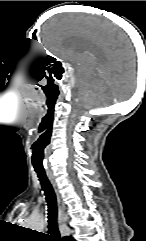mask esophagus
Returning a JSON list of instances; mask_svg holds the SVG:
<instances>
[{
    "label": "esophagus",
    "mask_w": 146,
    "mask_h": 241,
    "mask_svg": "<svg viewBox=\"0 0 146 241\" xmlns=\"http://www.w3.org/2000/svg\"><path fill=\"white\" fill-rule=\"evenodd\" d=\"M47 177L52 184V187L55 191L56 197H57V202H58V211H59V222L62 223L64 220V203L62 201V197L59 192L58 185L56 183L55 177L52 174V172H47Z\"/></svg>",
    "instance_id": "obj_1"
}]
</instances>
